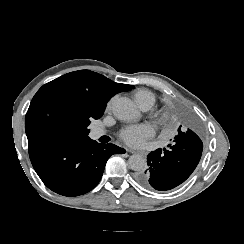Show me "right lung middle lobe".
<instances>
[{
  "mask_svg": "<svg viewBox=\"0 0 244 244\" xmlns=\"http://www.w3.org/2000/svg\"><path fill=\"white\" fill-rule=\"evenodd\" d=\"M104 109L105 104L80 91L62 86L39 89L25 117L27 138H85L90 120L99 119Z\"/></svg>",
  "mask_w": 244,
  "mask_h": 244,
  "instance_id": "dd1d6c3e",
  "label": "right lung middle lobe"
}]
</instances>
